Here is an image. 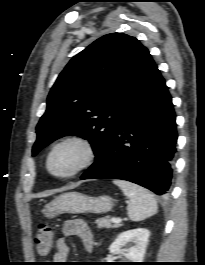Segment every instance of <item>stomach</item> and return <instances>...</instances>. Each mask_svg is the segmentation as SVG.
Masks as SVG:
<instances>
[{
    "mask_svg": "<svg viewBox=\"0 0 205 265\" xmlns=\"http://www.w3.org/2000/svg\"><path fill=\"white\" fill-rule=\"evenodd\" d=\"M114 200L107 195L93 197L79 192H67L59 195L43 210L47 218L63 213H105L113 207Z\"/></svg>",
    "mask_w": 205,
    "mask_h": 265,
    "instance_id": "1",
    "label": "stomach"
}]
</instances>
